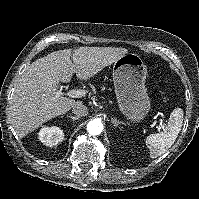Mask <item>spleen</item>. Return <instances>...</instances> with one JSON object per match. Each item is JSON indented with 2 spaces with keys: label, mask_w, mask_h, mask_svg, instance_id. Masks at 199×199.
<instances>
[{
  "label": "spleen",
  "mask_w": 199,
  "mask_h": 199,
  "mask_svg": "<svg viewBox=\"0 0 199 199\" xmlns=\"http://www.w3.org/2000/svg\"><path fill=\"white\" fill-rule=\"evenodd\" d=\"M182 123L183 110L181 108H176L170 114L168 125L165 130L161 133L150 134L146 138L145 143L150 150L151 158L162 155L174 144L181 130Z\"/></svg>",
  "instance_id": "obj_1"
}]
</instances>
